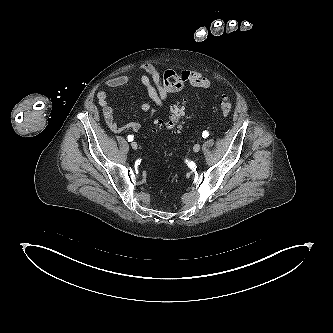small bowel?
I'll return each mask as SVG.
<instances>
[{
  "label": "small bowel",
  "instance_id": "c3829d8e",
  "mask_svg": "<svg viewBox=\"0 0 333 333\" xmlns=\"http://www.w3.org/2000/svg\"><path fill=\"white\" fill-rule=\"evenodd\" d=\"M134 79H138L141 82L148 97V100L141 105V109L144 113L143 121H147L154 115L151 102L162 107L171 93L182 90L186 84L201 89H206L211 86V79L197 71L185 70L175 72L173 70H166L161 74L157 67L151 63L142 65L132 74L121 75L107 80L106 86L109 88H120ZM97 101L102 107L104 121L109 130L113 133H122L126 130L136 132L141 129V122L120 124L116 121V114L109 103V97L106 91L101 90L97 93Z\"/></svg>",
  "mask_w": 333,
  "mask_h": 333
}]
</instances>
